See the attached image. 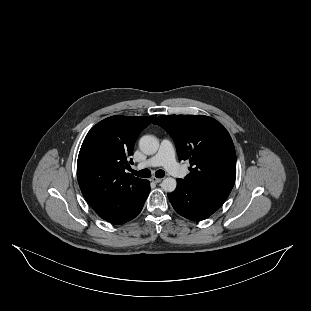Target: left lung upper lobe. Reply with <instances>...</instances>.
I'll use <instances>...</instances> for the list:
<instances>
[{
	"instance_id": "5c2ea615",
	"label": "left lung upper lobe",
	"mask_w": 311,
	"mask_h": 311,
	"mask_svg": "<svg viewBox=\"0 0 311 311\" xmlns=\"http://www.w3.org/2000/svg\"><path fill=\"white\" fill-rule=\"evenodd\" d=\"M154 124L173 138L179 159L190 162V173L180 181L230 194L236 179V152L222 124L205 115H162Z\"/></svg>"
}]
</instances>
